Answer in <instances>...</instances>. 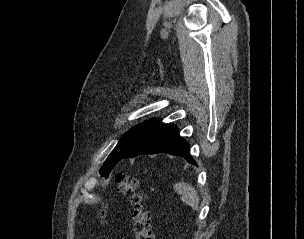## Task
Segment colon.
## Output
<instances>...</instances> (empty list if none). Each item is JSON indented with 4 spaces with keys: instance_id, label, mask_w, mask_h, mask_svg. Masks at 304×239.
I'll list each match as a JSON object with an SVG mask.
<instances>
[{
    "instance_id": "colon-1",
    "label": "colon",
    "mask_w": 304,
    "mask_h": 239,
    "mask_svg": "<svg viewBox=\"0 0 304 239\" xmlns=\"http://www.w3.org/2000/svg\"><path fill=\"white\" fill-rule=\"evenodd\" d=\"M118 189L122 191L131 201L133 207V230L134 239H154L150 226V212L147 208V195L139 187L136 178L125 174L116 177ZM100 217L106 216V210H100Z\"/></svg>"
}]
</instances>
